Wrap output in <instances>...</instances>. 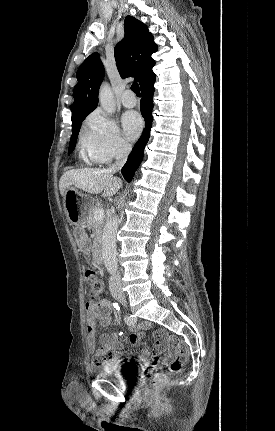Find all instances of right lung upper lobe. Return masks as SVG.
I'll list each match as a JSON object with an SVG mask.
<instances>
[{"label":"right lung upper lobe","instance_id":"obj_1","mask_svg":"<svg viewBox=\"0 0 275 431\" xmlns=\"http://www.w3.org/2000/svg\"><path fill=\"white\" fill-rule=\"evenodd\" d=\"M124 38L117 43L114 56L122 78L134 77L140 88L155 80L152 71L155 61L151 55L157 51L152 34L141 21L127 16L124 23ZM104 77V67L98 53H93L77 71L78 83L74 88L72 104V127L81 123L98 104V90Z\"/></svg>","mask_w":275,"mask_h":431}]
</instances>
